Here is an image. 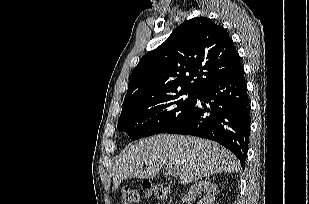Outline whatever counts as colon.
Here are the masks:
<instances>
[{
  "instance_id": "1",
  "label": "colon",
  "mask_w": 309,
  "mask_h": 204,
  "mask_svg": "<svg viewBox=\"0 0 309 204\" xmlns=\"http://www.w3.org/2000/svg\"><path fill=\"white\" fill-rule=\"evenodd\" d=\"M169 185L167 183L144 185V196L148 198L158 197L165 198L169 192ZM121 204H138L142 195L139 190L133 187H124L120 191Z\"/></svg>"
}]
</instances>
